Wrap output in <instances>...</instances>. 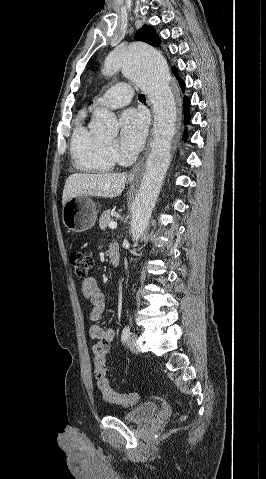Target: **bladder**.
Masks as SVG:
<instances>
[{
	"label": "bladder",
	"mask_w": 266,
	"mask_h": 479,
	"mask_svg": "<svg viewBox=\"0 0 266 479\" xmlns=\"http://www.w3.org/2000/svg\"><path fill=\"white\" fill-rule=\"evenodd\" d=\"M158 411V405L154 402L139 404L121 415L122 420L129 423H142L152 418Z\"/></svg>",
	"instance_id": "bladder-1"
}]
</instances>
